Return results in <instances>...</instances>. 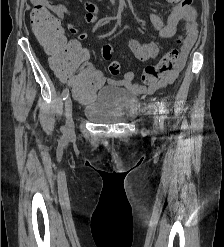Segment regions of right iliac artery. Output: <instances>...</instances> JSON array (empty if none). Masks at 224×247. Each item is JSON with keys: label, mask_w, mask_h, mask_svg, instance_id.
<instances>
[{"label": "right iliac artery", "mask_w": 224, "mask_h": 247, "mask_svg": "<svg viewBox=\"0 0 224 247\" xmlns=\"http://www.w3.org/2000/svg\"><path fill=\"white\" fill-rule=\"evenodd\" d=\"M68 95H69V89H68V88H65V89L63 90V92H62V99H63V100H66L67 97H68Z\"/></svg>", "instance_id": "obj_1"}]
</instances>
